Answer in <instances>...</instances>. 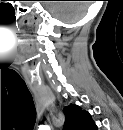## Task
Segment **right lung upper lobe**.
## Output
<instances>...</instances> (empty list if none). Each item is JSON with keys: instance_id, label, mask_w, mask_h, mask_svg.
<instances>
[{"instance_id": "obj_1", "label": "right lung upper lobe", "mask_w": 123, "mask_h": 130, "mask_svg": "<svg viewBox=\"0 0 123 130\" xmlns=\"http://www.w3.org/2000/svg\"><path fill=\"white\" fill-rule=\"evenodd\" d=\"M66 122L64 130H95L96 126L88 112L81 110L77 105L70 104L64 107Z\"/></svg>"}]
</instances>
